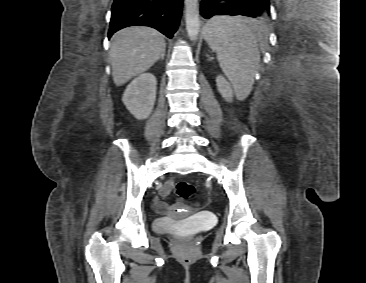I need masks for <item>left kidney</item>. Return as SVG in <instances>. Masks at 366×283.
<instances>
[{
    "instance_id": "left-kidney-1",
    "label": "left kidney",
    "mask_w": 366,
    "mask_h": 283,
    "mask_svg": "<svg viewBox=\"0 0 366 283\" xmlns=\"http://www.w3.org/2000/svg\"><path fill=\"white\" fill-rule=\"evenodd\" d=\"M216 84H217L218 91L220 92L222 97L227 102H232L233 89H232L230 83L222 75H219L216 78Z\"/></svg>"
}]
</instances>
